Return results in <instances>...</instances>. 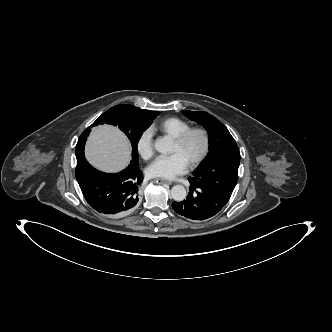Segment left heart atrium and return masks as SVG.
<instances>
[{
	"mask_svg": "<svg viewBox=\"0 0 332 332\" xmlns=\"http://www.w3.org/2000/svg\"><path fill=\"white\" fill-rule=\"evenodd\" d=\"M188 169L187 161L178 153L170 156H160L147 168V175L151 178L170 180L185 173Z\"/></svg>",
	"mask_w": 332,
	"mask_h": 332,
	"instance_id": "1",
	"label": "left heart atrium"
}]
</instances>
